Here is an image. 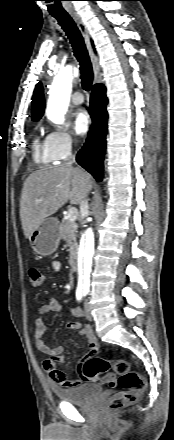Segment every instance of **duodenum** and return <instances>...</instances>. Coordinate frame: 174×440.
<instances>
[{"label":"duodenum","instance_id":"duodenum-1","mask_svg":"<svg viewBox=\"0 0 174 440\" xmlns=\"http://www.w3.org/2000/svg\"><path fill=\"white\" fill-rule=\"evenodd\" d=\"M69 264H70V268H71L73 271H77V270H78V268H79V263H78L77 256H76L75 254L72 255Z\"/></svg>","mask_w":174,"mask_h":440}]
</instances>
